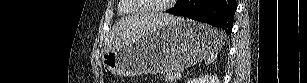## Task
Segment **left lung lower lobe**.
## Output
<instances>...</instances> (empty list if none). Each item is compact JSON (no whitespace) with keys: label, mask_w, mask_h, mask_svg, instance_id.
I'll use <instances>...</instances> for the list:
<instances>
[{"label":"left lung lower lobe","mask_w":307,"mask_h":83,"mask_svg":"<svg viewBox=\"0 0 307 83\" xmlns=\"http://www.w3.org/2000/svg\"><path fill=\"white\" fill-rule=\"evenodd\" d=\"M236 8V0H177L167 12L207 23L231 36Z\"/></svg>","instance_id":"1"}]
</instances>
